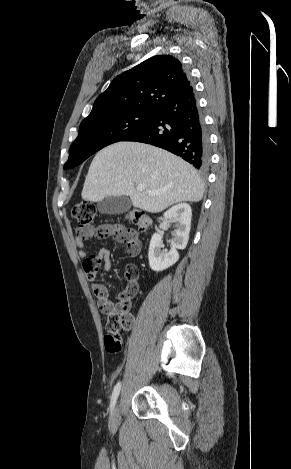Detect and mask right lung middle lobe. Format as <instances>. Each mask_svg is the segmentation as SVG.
I'll use <instances>...</instances> for the list:
<instances>
[{
	"mask_svg": "<svg viewBox=\"0 0 291 469\" xmlns=\"http://www.w3.org/2000/svg\"><path fill=\"white\" fill-rule=\"evenodd\" d=\"M152 115L153 110L133 109L104 118L83 120L64 169L73 168L103 147L122 141L142 127Z\"/></svg>",
	"mask_w": 291,
	"mask_h": 469,
	"instance_id": "dd1d6c3e",
	"label": "right lung middle lobe"
}]
</instances>
